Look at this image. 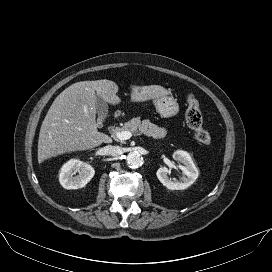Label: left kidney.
Instances as JSON below:
<instances>
[{
  "instance_id": "1",
  "label": "left kidney",
  "mask_w": 272,
  "mask_h": 272,
  "mask_svg": "<svg viewBox=\"0 0 272 272\" xmlns=\"http://www.w3.org/2000/svg\"><path fill=\"white\" fill-rule=\"evenodd\" d=\"M173 157L178 162L182 163L183 165L179 164V168L182 170L185 177H182V181L173 182L168 177V168L167 167H160L157 172V178L159 181L168 189L170 190H184L191 186L196 179L198 178L199 172L196 168L190 154L183 150L175 151Z\"/></svg>"
}]
</instances>
